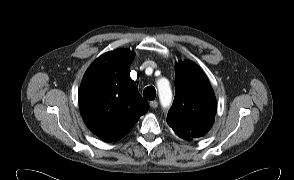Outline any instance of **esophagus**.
Wrapping results in <instances>:
<instances>
[{
	"mask_svg": "<svg viewBox=\"0 0 294 180\" xmlns=\"http://www.w3.org/2000/svg\"><path fill=\"white\" fill-rule=\"evenodd\" d=\"M149 105L151 108H156L158 106V102L157 101H150Z\"/></svg>",
	"mask_w": 294,
	"mask_h": 180,
	"instance_id": "1",
	"label": "esophagus"
}]
</instances>
